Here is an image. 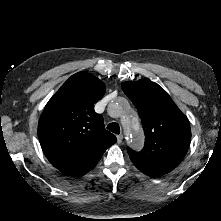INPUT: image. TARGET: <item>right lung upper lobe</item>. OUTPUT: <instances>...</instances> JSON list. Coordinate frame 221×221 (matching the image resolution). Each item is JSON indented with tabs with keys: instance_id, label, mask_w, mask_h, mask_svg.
<instances>
[{
	"instance_id": "cb5924a9",
	"label": "right lung upper lobe",
	"mask_w": 221,
	"mask_h": 221,
	"mask_svg": "<svg viewBox=\"0 0 221 221\" xmlns=\"http://www.w3.org/2000/svg\"><path fill=\"white\" fill-rule=\"evenodd\" d=\"M105 84L79 72L71 76L46 104L38 124L41 147L56 167L102 155L117 138L105 129L93 105L105 94Z\"/></svg>"
}]
</instances>
